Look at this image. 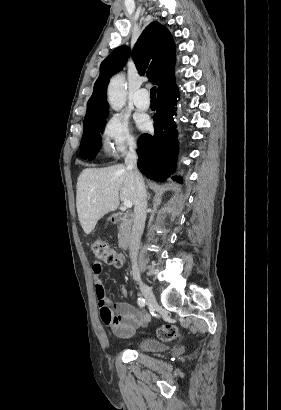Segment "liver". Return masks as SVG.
Here are the masks:
<instances>
[{
	"mask_svg": "<svg viewBox=\"0 0 281 410\" xmlns=\"http://www.w3.org/2000/svg\"><path fill=\"white\" fill-rule=\"evenodd\" d=\"M136 184L131 170L122 164L86 168L78 177L76 207L80 224L90 234L99 219L118 208L120 200L136 201Z\"/></svg>",
	"mask_w": 281,
	"mask_h": 410,
	"instance_id": "liver-1",
	"label": "liver"
}]
</instances>
